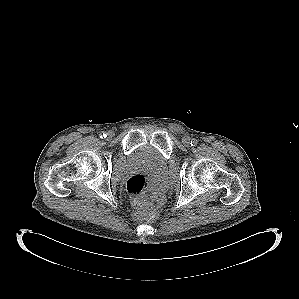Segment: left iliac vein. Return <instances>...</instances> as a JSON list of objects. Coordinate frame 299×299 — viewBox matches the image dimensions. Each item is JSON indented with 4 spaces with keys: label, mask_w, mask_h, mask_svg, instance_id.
Masks as SVG:
<instances>
[{
    "label": "left iliac vein",
    "mask_w": 299,
    "mask_h": 299,
    "mask_svg": "<svg viewBox=\"0 0 299 299\" xmlns=\"http://www.w3.org/2000/svg\"><path fill=\"white\" fill-rule=\"evenodd\" d=\"M190 142H191V139L188 137V136H184L182 138V143L185 145V146H189L190 145Z\"/></svg>",
    "instance_id": "4c4485c4"
}]
</instances>
